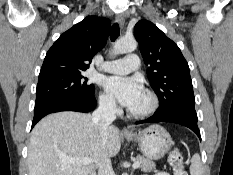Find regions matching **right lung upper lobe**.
Segmentation results:
<instances>
[{
    "label": "right lung upper lobe",
    "instance_id": "obj_1",
    "mask_svg": "<svg viewBox=\"0 0 233 175\" xmlns=\"http://www.w3.org/2000/svg\"><path fill=\"white\" fill-rule=\"evenodd\" d=\"M110 24L109 19L88 16L64 32L47 52L39 78L84 72L105 46Z\"/></svg>",
    "mask_w": 233,
    "mask_h": 175
}]
</instances>
